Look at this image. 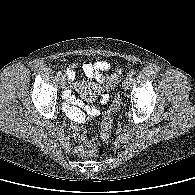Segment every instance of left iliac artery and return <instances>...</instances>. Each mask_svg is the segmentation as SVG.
Masks as SVG:
<instances>
[{
	"mask_svg": "<svg viewBox=\"0 0 195 195\" xmlns=\"http://www.w3.org/2000/svg\"><path fill=\"white\" fill-rule=\"evenodd\" d=\"M132 78H133V75L131 74V75H129L128 80L132 81Z\"/></svg>",
	"mask_w": 195,
	"mask_h": 195,
	"instance_id": "obj_1",
	"label": "left iliac artery"
}]
</instances>
